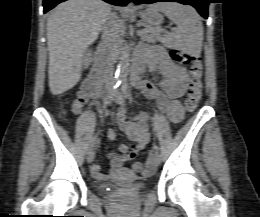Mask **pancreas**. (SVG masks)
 Here are the masks:
<instances>
[{
    "label": "pancreas",
    "mask_w": 260,
    "mask_h": 217,
    "mask_svg": "<svg viewBox=\"0 0 260 217\" xmlns=\"http://www.w3.org/2000/svg\"><path fill=\"white\" fill-rule=\"evenodd\" d=\"M142 40L148 43H155L156 41H161V37L156 30H151L141 35Z\"/></svg>",
    "instance_id": "obj_1"
}]
</instances>
